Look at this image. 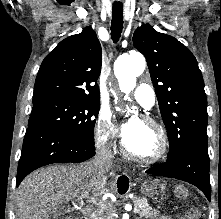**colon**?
<instances>
[{
  "label": "colon",
  "instance_id": "5ec220e1",
  "mask_svg": "<svg viewBox=\"0 0 221 219\" xmlns=\"http://www.w3.org/2000/svg\"><path fill=\"white\" fill-rule=\"evenodd\" d=\"M179 197H184V191L182 189H178ZM70 219V218H68ZM184 219H206L205 215L199 209H191L185 216Z\"/></svg>",
  "mask_w": 221,
  "mask_h": 219
}]
</instances>
